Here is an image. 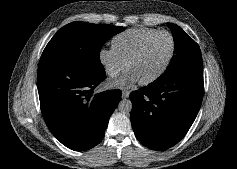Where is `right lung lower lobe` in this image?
I'll return each instance as SVG.
<instances>
[{"instance_id": "1", "label": "right lung lower lobe", "mask_w": 237, "mask_h": 169, "mask_svg": "<svg viewBox=\"0 0 237 169\" xmlns=\"http://www.w3.org/2000/svg\"><path fill=\"white\" fill-rule=\"evenodd\" d=\"M105 78L103 65L39 63L37 84L44 120L69 149L88 150L102 140L109 118L121 100L120 90L93 94Z\"/></svg>"}]
</instances>
